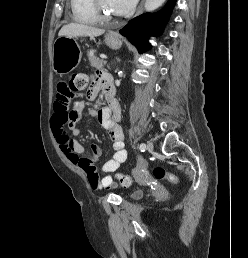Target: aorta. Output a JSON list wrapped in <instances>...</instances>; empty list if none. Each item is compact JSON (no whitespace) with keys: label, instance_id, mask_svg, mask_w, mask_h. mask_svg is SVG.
Instances as JSON below:
<instances>
[{"label":"aorta","instance_id":"aorta-1","mask_svg":"<svg viewBox=\"0 0 248 258\" xmlns=\"http://www.w3.org/2000/svg\"><path fill=\"white\" fill-rule=\"evenodd\" d=\"M164 2L165 0H145L144 7L146 11L150 12L160 7Z\"/></svg>","mask_w":248,"mask_h":258}]
</instances>
